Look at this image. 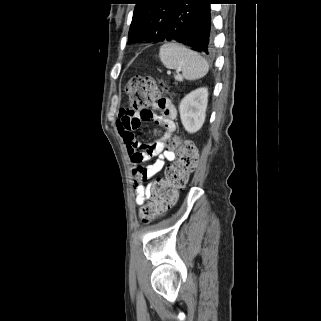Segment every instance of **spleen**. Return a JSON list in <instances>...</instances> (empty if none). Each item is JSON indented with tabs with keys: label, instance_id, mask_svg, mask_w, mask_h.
I'll return each mask as SVG.
<instances>
[{
	"label": "spleen",
	"instance_id": "obj_1",
	"mask_svg": "<svg viewBox=\"0 0 321 321\" xmlns=\"http://www.w3.org/2000/svg\"><path fill=\"white\" fill-rule=\"evenodd\" d=\"M159 58L168 69L182 72L187 80L204 77L209 70L207 61L197 52L178 43H165L160 47Z\"/></svg>",
	"mask_w": 321,
	"mask_h": 321
}]
</instances>
